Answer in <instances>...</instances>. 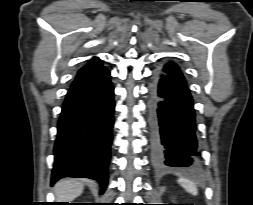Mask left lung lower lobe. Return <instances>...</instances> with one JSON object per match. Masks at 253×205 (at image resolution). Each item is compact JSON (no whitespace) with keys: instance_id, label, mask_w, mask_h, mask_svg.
I'll return each mask as SVG.
<instances>
[{"instance_id":"0a47b994","label":"left lung lower lobe","mask_w":253,"mask_h":205,"mask_svg":"<svg viewBox=\"0 0 253 205\" xmlns=\"http://www.w3.org/2000/svg\"><path fill=\"white\" fill-rule=\"evenodd\" d=\"M151 146L158 166H196L195 113L179 67L168 63L151 88L149 102Z\"/></svg>"}]
</instances>
